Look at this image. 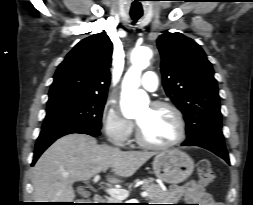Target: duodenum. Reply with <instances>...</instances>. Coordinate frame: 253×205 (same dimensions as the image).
I'll return each instance as SVG.
<instances>
[{"label": "duodenum", "instance_id": "obj_1", "mask_svg": "<svg viewBox=\"0 0 253 205\" xmlns=\"http://www.w3.org/2000/svg\"><path fill=\"white\" fill-rule=\"evenodd\" d=\"M93 201L97 204H100L101 202H103V197L101 194H95L93 196Z\"/></svg>", "mask_w": 253, "mask_h": 205}]
</instances>
